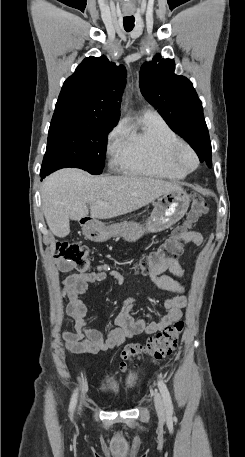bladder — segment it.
<instances>
[{
	"instance_id": "obj_1",
	"label": "bladder",
	"mask_w": 245,
	"mask_h": 457,
	"mask_svg": "<svg viewBox=\"0 0 245 457\" xmlns=\"http://www.w3.org/2000/svg\"><path fill=\"white\" fill-rule=\"evenodd\" d=\"M113 384V381L110 379H103L100 382V387L103 391H109L110 386Z\"/></svg>"
}]
</instances>
